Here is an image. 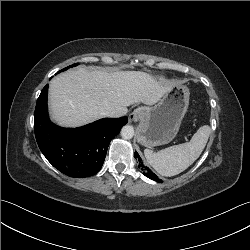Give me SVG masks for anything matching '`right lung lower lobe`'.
I'll list each match as a JSON object with an SVG mask.
<instances>
[{
	"mask_svg": "<svg viewBox=\"0 0 250 250\" xmlns=\"http://www.w3.org/2000/svg\"><path fill=\"white\" fill-rule=\"evenodd\" d=\"M47 94L48 85L41 91L34 114V131L40 150L67 176L95 175L103 165L109 142L119 134L128 118H104L75 129L61 128L49 120Z\"/></svg>",
	"mask_w": 250,
	"mask_h": 250,
	"instance_id": "right-lung-lower-lobe-1",
	"label": "right lung lower lobe"
}]
</instances>
